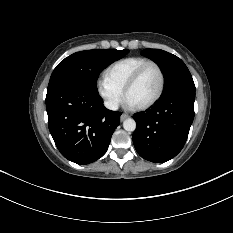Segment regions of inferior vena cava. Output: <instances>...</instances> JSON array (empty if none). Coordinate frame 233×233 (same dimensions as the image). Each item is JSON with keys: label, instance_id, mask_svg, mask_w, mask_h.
<instances>
[{"label": "inferior vena cava", "instance_id": "obj_1", "mask_svg": "<svg viewBox=\"0 0 233 233\" xmlns=\"http://www.w3.org/2000/svg\"><path fill=\"white\" fill-rule=\"evenodd\" d=\"M104 105L107 109H110V110H117L118 109V103L115 101H106V102H104Z\"/></svg>", "mask_w": 233, "mask_h": 233}]
</instances>
